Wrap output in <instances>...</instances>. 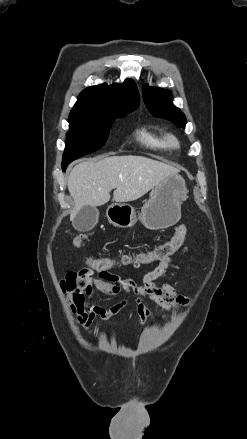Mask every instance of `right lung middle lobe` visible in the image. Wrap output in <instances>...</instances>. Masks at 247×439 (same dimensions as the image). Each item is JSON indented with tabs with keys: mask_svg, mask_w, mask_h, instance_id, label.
Wrapping results in <instances>:
<instances>
[{
	"mask_svg": "<svg viewBox=\"0 0 247 439\" xmlns=\"http://www.w3.org/2000/svg\"><path fill=\"white\" fill-rule=\"evenodd\" d=\"M133 110L135 109L109 115L70 114L62 169L65 171L67 165L73 160L101 148L108 138L109 128L114 119Z\"/></svg>",
	"mask_w": 247,
	"mask_h": 439,
	"instance_id": "1",
	"label": "right lung middle lobe"
}]
</instances>
